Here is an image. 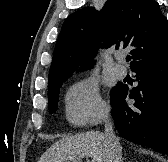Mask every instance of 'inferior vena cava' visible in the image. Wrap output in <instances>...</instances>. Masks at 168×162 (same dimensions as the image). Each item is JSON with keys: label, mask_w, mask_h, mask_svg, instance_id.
Listing matches in <instances>:
<instances>
[{"label": "inferior vena cava", "mask_w": 168, "mask_h": 162, "mask_svg": "<svg viewBox=\"0 0 168 162\" xmlns=\"http://www.w3.org/2000/svg\"><path fill=\"white\" fill-rule=\"evenodd\" d=\"M105 122V139L108 149L109 162H122L121 156V146L117 137L114 134L112 123L109 119L108 111H106L104 116Z\"/></svg>", "instance_id": "obj_1"}]
</instances>
